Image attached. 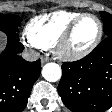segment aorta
I'll return each mask as SVG.
<instances>
[{
	"label": "aorta",
	"mask_w": 112,
	"mask_h": 112,
	"mask_svg": "<svg viewBox=\"0 0 112 112\" xmlns=\"http://www.w3.org/2000/svg\"><path fill=\"white\" fill-rule=\"evenodd\" d=\"M42 76L49 82H56L62 76L61 67L54 62L46 63L42 69Z\"/></svg>",
	"instance_id": "aorta-1"
}]
</instances>
